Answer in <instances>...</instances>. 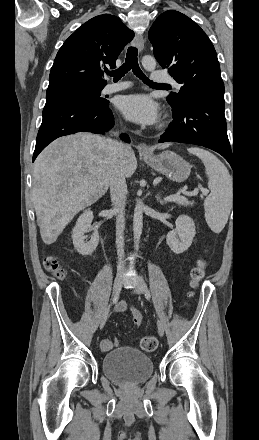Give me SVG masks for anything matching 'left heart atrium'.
Segmentation results:
<instances>
[{"label":"left heart atrium","instance_id":"1","mask_svg":"<svg viewBox=\"0 0 259 440\" xmlns=\"http://www.w3.org/2000/svg\"><path fill=\"white\" fill-rule=\"evenodd\" d=\"M118 108L128 119L145 125L156 123L160 115L158 105L146 94L122 96Z\"/></svg>","mask_w":259,"mask_h":440}]
</instances>
